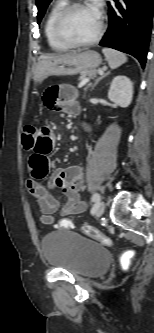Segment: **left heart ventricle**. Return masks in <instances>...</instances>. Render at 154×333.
Listing matches in <instances>:
<instances>
[{"label":"left heart ventricle","mask_w":154,"mask_h":333,"mask_svg":"<svg viewBox=\"0 0 154 333\" xmlns=\"http://www.w3.org/2000/svg\"><path fill=\"white\" fill-rule=\"evenodd\" d=\"M98 13L90 6L71 11L64 23V31L73 40L84 41L92 38L98 29Z\"/></svg>","instance_id":"obj_1"}]
</instances>
